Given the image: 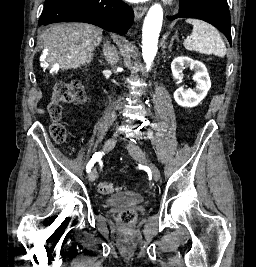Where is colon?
Segmentation results:
<instances>
[{"label": "colon", "mask_w": 256, "mask_h": 267, "mask_svg": "<svg viewBox=\"0 0 256 267\" xmlns=\"http://www.w3.org/2000/svg\"><path fill=\"white\" fill-rule=\"evenodd\" d=\"M86 99V94L82 85L78 82L69 84H61L54 88L53 98L48 105V114L53 121L50 128L52 137L58 142H64L67 134L64 126L59 123L64 108L63 105L82 102ZM98 190L103 194H113L119 190V187L110 182H101L98 185ZM136 217L133 209H125L120 212V224H130Z\"/></svg>", "instance_id": "colon-1"}]
</instances>
